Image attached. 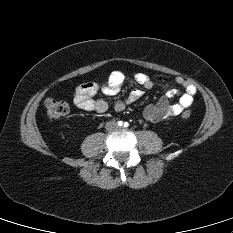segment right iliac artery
<instances>
[{"label": "right iliac artery", "mask_w": 233, "mask_h": 233, "mask_svg": "<svg viewBox=\"0 0 233 233\" xmlns=\"http://www.w3.org/2000/svg\"><path fill=\"white\" fill-rule=\"evenodd\" d=\"M118 125H119V126H122V125H123V122H122V121H118Z\"/></svg>", "instance_id": "right-iliac-artery-1"}]
</instances>
